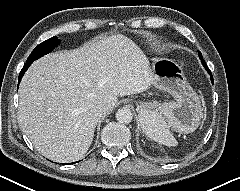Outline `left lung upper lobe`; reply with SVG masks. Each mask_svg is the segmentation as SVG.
<instances>
[{"instance_id":"left-lung-upper-lobe-1","label":"left lung upper lobe","mask_w":240,"mask_h":191,"mask_svg":"<svg viewBox=\"0 0 240 191\" xmlns=\"http://www.w3.org/2000/svg\"><path fill=\"white\" fill-rule=\"evenodd\" d=\"M199 56H202L200 52H199Z\"/></svg>"}]
</instances>
